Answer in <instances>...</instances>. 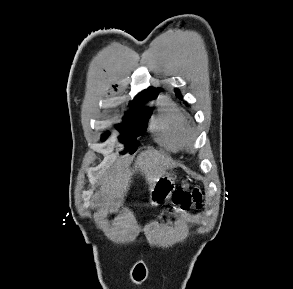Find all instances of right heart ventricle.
Listing matches in <instances>:
<instances>
[{
  "label": "right heart ventricle",
  "mask_w": 293,
  "mask_h": 289,
  "mask_svg": "<svg viewBox=\"0 0 293 289\" xmlns=\"http://www.w3.org/2000/svg\"><path fill=\"white\" fill-rule=\"evenodd\" d=\"M151 127L158 143L169 150L185 146L186 135L191 130L184 115L165 98L160 99L159 110L151 120Z\"/></svg>",
  "instance_id": "e07e8e85"
}]
</instances>
